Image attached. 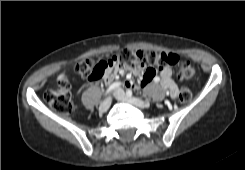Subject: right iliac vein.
Instances as JSON below:
<instances>
[{
    "mask_svg": "<svg viewBox=\"0 0 245 170\" xmlns=\"http://www.w3.org/2000/svg\"><path fill=\"white\" fill-rule=\"evenodd\" d=\"M110 105H111V98L108 97L101 103L99 107V111L106 112L109 109Z\"/></svg>",
    "mask_w": 245,
    "mask_h": 170,
    "instance_id": "1",
    "label": "right iliac vein"
}]
</instances>
